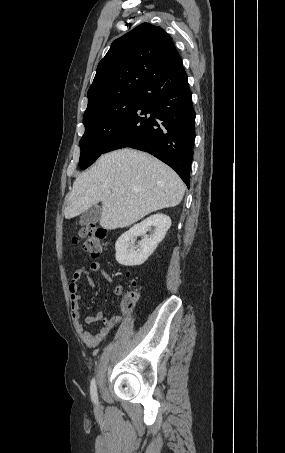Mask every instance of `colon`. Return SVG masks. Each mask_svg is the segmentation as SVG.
Instances as JSON below:
<instances>
[{"mask_svg": "<svg viewBox=\"0 0 285 453\" xmlns=\"http://www.w3.org/2000/svg\"><path fill=\"white\" fill-rule=\"evenodd\" d=\"M107 236V230L91 224L81 228L78 231V234L73 237L72 244L77 245L81 240H83L82 248L87 252L91 257H98L101 253V245L103 240ZM137 299V294L135 292H127L123 297V307L129 309L133 306L135 300Z\"/></svg>", "mask_w": 285, "mask_h": 453, "instance_id": "5ec220e1", "label": "colon"}]
</instances>
